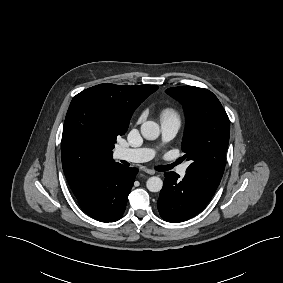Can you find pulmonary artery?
Segmentation results:
<instances>
[{"mask_svg": "<svg viewBox=\"0 0 283 283\" xmlns=\"http://www.w3.org/2000/svg\"><path fill=\"white\" fill-rule=\"evenodd\" d=\"M179 127L180 124L177 120H161L162 142L164 144L169 143L176 136ZM155 154V150L151 148L119 147L115 151V157L117 159L130 162L149 161L155 156ZM186 168V164L180 165L176 168V172L180 176H183L186 172Z\"/></svg>", "mask_w": 283, "mask_h": 283, "instance_id": "pulmonary-artery-1", "label": "pulmonary artery"}]
</instances>
